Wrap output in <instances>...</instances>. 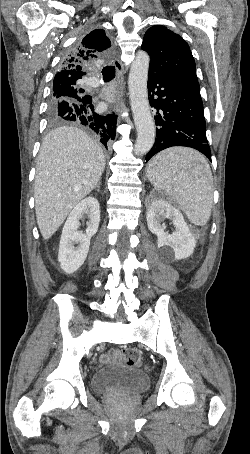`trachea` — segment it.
<instances>
[{"label":"trachea","instance_id":"obj_1","mask_svg":"<svg viewBox=\"0 0 250 454\" xmlns=\"http://www.w3.org/2000/svg\"><path fill=\"white\" fill-rule=\"evenodd\" d=\"M103 79L105 82H109L115 76V66H106L102 70Z\"/></svg>","mask_w":250,"mask_h":454}]
</instances>
